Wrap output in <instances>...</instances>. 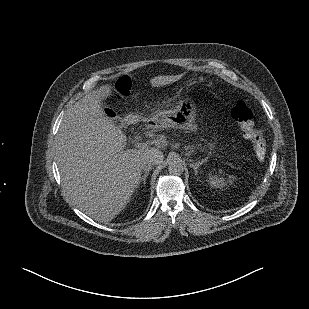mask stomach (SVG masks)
Masks as SVG:
<instances>
[{"label":"stomach","mask_w":309,"mask_h":309,"mask_svg":"<svg viewBox=\"0 0 309 309\" xmlns=\"http://www.w3.org/2000/svg\"><path fill=\"white\" fill-rule=\"evenodd\" d=\"M196 116L197 106L188 100H181L176 108L158 114L152 122L160 127H184L192 124Z\"/></svg>","instance_id":"stomach-1"}]
</instances>
